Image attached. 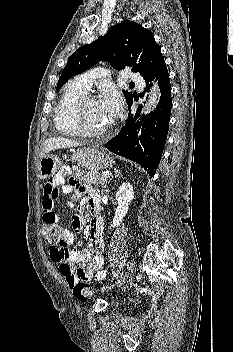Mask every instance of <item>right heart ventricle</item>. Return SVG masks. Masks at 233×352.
<instances>
[{"instance_id":"right-heart-ventricle-1","label":"right heart ventricle","mask_w":233,"mask_h":352,"mask_svg":"<svg viewBox=\"0 0 233 352\" xmlns=\"http://www.w3.org/2000/svg\"><path fill=\"white\" fill-rule=\"evenodd\" d=\"M86 93L87 91L74 81L66 85L54 113V124L63 135L70 137L80 135L74 122V112L78 101Z\"/></svg>"}]
</instances>
